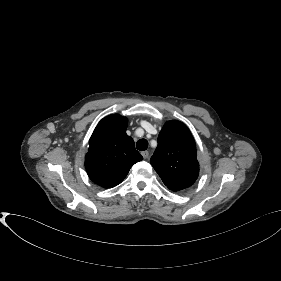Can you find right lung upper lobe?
I'll return each instance as SVG.
<instances>
[{"instance_id": "obj_1", "label": "right lung upper lobe", "mask_w": 281, "mask_h": 281, "mask_svg": "<svg viewBox=\"0 0 281 281\" xmlns=\"http://www.w3.org/2000/svg\"><path fill=\"white\" fill-rule=\"evenodd\" d=\"M127 124L126 117L106 116L90 138L85 168L90 179L104 188L121 183L132 165L143 159L135 150L133 139L126 134Z\"/></svg>"}]
</instances>
